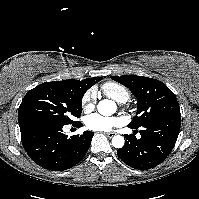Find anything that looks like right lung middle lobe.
I'll return each mask as SVG.
<instances>
[{
	"instance_id": "obj_1",
	"label": "right lung middle lobe",
	"mask_w": 199,
	"mask_h": 199,
	"mask_svg": "<svg viewBox=\"0 0 199 199\" xmlns=\"http://www.w3.org/2000/svg\"><path fill=\"white\" fill-rule=\"evenodd\" d=\"M84 93L62 85L47 82L27 92L18 110V122L40 120L58 124H73L72 116L79 118Z\"/></svg>"
}]
</instances>
